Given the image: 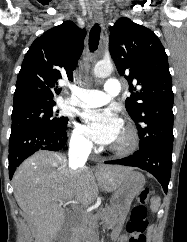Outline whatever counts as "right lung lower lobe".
<instances>
[{
    "mask_svg": "<svg viewBox=\"0 0 187 242\" xmlns=\"http://www.w3.org/2000/svg\"><path fill=\"white\" fill-rule=\"evenodd\" d=\"M38 150H67L66 131L24 128L11 131L9 139V177L16 168Z\"/></svg>",
    "mask_w": 187,
    "mask_h": 242,
    "instance_id": "right-lung-lower-lobe-1",
    "label": "right lung lower lobe"
}]
</instances>
